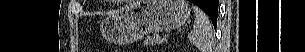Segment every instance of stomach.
<instances>
[{
  "mask_svg": "<svg viewBox=\"0 0 305 52\" xmlns=\"http://www.w3.org/2000/svg\"><path fill=\"white\" fill-rule=\"evenodd\" d=\"M190 11L185 0H136L107 17L100 33L112 43H132L146 34L182 26Z\"/></svg>",
  "mask_w": 305,
  "mask_h": 52,
  "instance_id": "1",
  "label": "stomach"
}]
</instances>
